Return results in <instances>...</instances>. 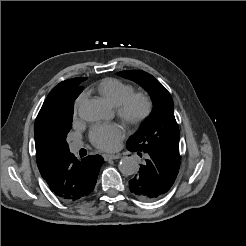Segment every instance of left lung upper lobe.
<instances>
[{
  "mask_svg": "<svg viewBox=\"0 0 246 246\" xmlns=\"http://www.w3.org/2000/svg\"><path fill=\"white\" fill-rule=\"evenodd\" d=\"M118 75L141 85L153 100L152 113L137 132L129 137L127 148L140 152L155 150L180 160L179 127L170 93L156 78L144 71H121Z\"/></svg>",
  "mask_w": 246,
  "mask_h": 246,
  "instance_id": "left-lung-upper-lobe-1",
  "label": "left lung upper lobe"
}]
</instances>
